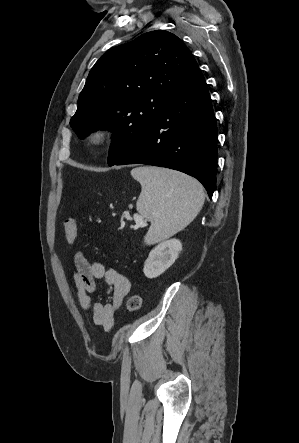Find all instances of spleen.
I'll return each mask as SVG.
<instances>
[{
    "mask_svg": "<svg viewBox=\"0 0 299 443\" xmlns=\"http://www.w3.org/2000/svg\"><path fill=\"white\" fill-rule=\"evenodd\" d=\"M131 175L142 187L137 211L151 221L146 244L157 243L182 230L204 204L202 185L180 172L145 166L134 168Z\"/></svg>",
    "mask_w": 299,
    "mask_h": 443,
    "instance_id": "3e777b00",
    "label": "spleen"
}]
</instances>
